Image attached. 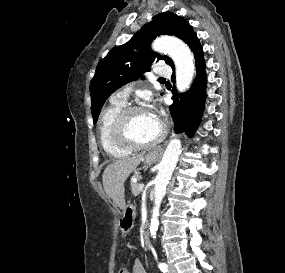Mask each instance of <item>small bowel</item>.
<instances>
[{
	"mask_svg": "<svg viewBox=\"0 0 285 273\" xmlns=\"http://www.w3.org/2000/svg\"><path fill=\"white\" fill-rule=\"evenodd\" d=\"M124 273H146L140 260H135L132 263L131 269L125 268Z\"/></svg>",
	"mask_w": 285,
	"mask_h": 273,
	"instance_id": "c3829d8e",
	"label": "small bowel"
}]
</instances>
